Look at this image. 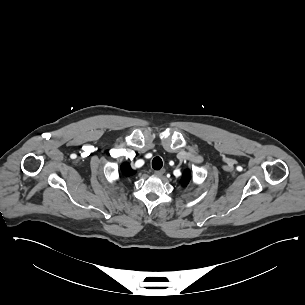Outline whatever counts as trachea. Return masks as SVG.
<instances>
[{"mask_svg": "<svg viewBox=\"0 0 305 305\" xmlns=\"http://www.w3.org/2000/svg\"><path fill=\"white\" fill-rule=\"evenodd\" d=\"M163 166V162H162V159L160 157H155L153 160H152V168L154 170H160Z\"/></svg>", "mask_w": 305, "mask_h": 305, "instance_id": "trachea-1", "label": "trachea"}]
</instances>
